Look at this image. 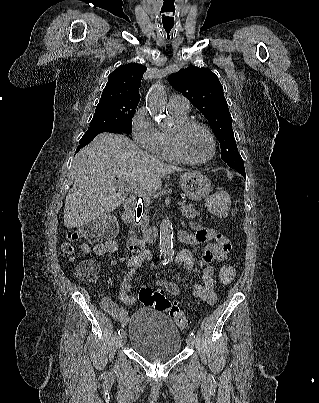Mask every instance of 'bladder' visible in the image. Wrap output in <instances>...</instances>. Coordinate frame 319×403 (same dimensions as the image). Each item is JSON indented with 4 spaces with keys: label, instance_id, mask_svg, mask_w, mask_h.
Returning <instances> with one entry per match:
<instances>
[{
    "label": "bladder",
    "instance_id": "31cf9c89",
    "mask_svg": "<svg viewBox=\"0 0 319 403\" xmlns=\"http://www.w3.org/2000/svg\"><path fill=\"white\" fill-rule=\"evenodd\" d=\"M129 344L139 356L164 362L177 356L182 346L181 333L166 314L148 308L136 310L128 320Z\"/></svg>",
    "mask_w": 319,
    "mask_h": 403
}]
</instances>
